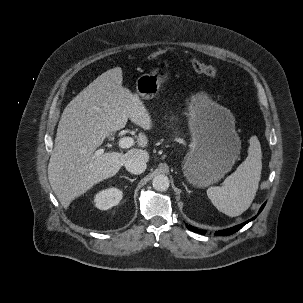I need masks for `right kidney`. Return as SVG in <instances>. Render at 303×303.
I'll return each instance as SVG.
<instances>
[{
  "mask_svg": "<svg viewBox=\"0 0 303 303\" xmlns=\"http://www.w3.org/2000/svg\"><path fill=\"white\" fill-rule=\"evenodd\" d=\"M122 197V191L112 187L98 192L94 197V204L100 210H108L116 206Z\"/></svg>",
  "mask_w": 303,
  "mask_h": 303,
  "instance_id": "ca27d5eb",
  "label": "right kidney"
}]
</instances>
